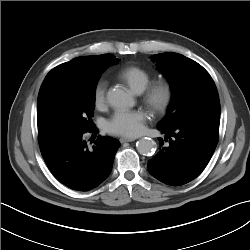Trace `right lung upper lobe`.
<instances>
[{
    "mask_svg": "<svg viewBox=\"0 0 250 250\" xmlns=\"http://www.w3.org/2000/svg\"><path fill=\"white\" fill-rule=\"evenodd\" d=\"M112 54L81 56L58 65L45 77L39 91L37 110L48 102L63 86L88 79L103 72L107 66L117 63Z\"/></svg>",
    "mask_w": 250,
    "mask_h": 250,
    "instance_id": "right-lung-upper-lobe-1",
    "label": "right lung upper lobe"
}]
</instances>
